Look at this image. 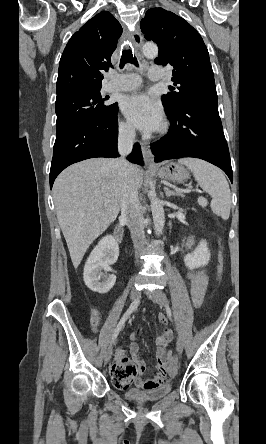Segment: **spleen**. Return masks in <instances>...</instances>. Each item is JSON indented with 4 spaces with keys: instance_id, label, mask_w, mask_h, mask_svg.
I'll return each instance as SVG.
<instances>
[{
    "instance_id": "3e777b00",
    "label": "spleen",
    "mask_w": 266,
    "mask_h": 444,
    "mask_svg": "<svg viewBox=\"0 0 266 444\" xmlns=\"http://www.w3.org/2000/svg\"><path fill=\"white\" fill-rule=\"evenodd\" d=\"M178 162L187 166L193 172V176L200 187L211 195L210 206L212 211L222 219H228L231 194L223 172L212 164L197 158H181Z\"/></svg>"
}]
</instances>
